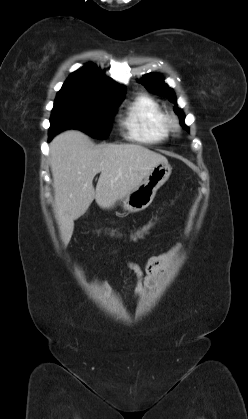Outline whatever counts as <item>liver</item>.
Wrapping results in <instances>:
<instances>
[{"label": "liver", "mask_w": 248, "mask_h": 419, "mask_svg": "<svg viewBox=\"0 0 248 419\" xmlns=\"http://www.w3.org/2000/svg\"><path fill=\"white\" fill-rule=\"evenodd\" d=\"M167 159L138 144L95 146L87 135L69 130L50 144L54 207L61 239L67 246L74 220L83 215L95 199L103 209L114 206L138 187L154 166ZM100 173L96 189L93 179Z\"/></svg>", "instance_id": "6515ba94"}]
</instances>
